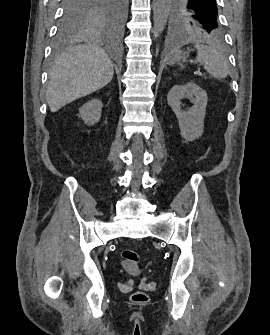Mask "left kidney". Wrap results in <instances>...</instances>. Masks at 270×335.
<instances>
[{"label": "left kidney", "instance_id": "5707ae66", "mask_svg": "<svg viewBox=\"0 0 270 335\" xmlns=\"http://www.w3.org/2000/svg\"><path fill=\"white\" fill-rule=\"evenodd\" d=\"M186 96H195V98L192 100L194 106L184 112V110H181L180 100H183ZM207 100L205 90H202L193 82H188L184 86H173L172 90L168 92V106L175 112L181 136L185 138L186 142H193V140H197V138L202 136Z\"/></svg>", "mask_w": 270, "mask_h": 335}]
</instances>
